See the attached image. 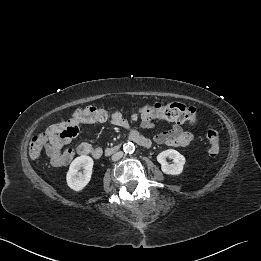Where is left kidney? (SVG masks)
Masks as SVG:
<instances>
[{
	"instance_id": "left-kidney-1",
	"label": "left kidney",
	"mask_w": 261,
	"mask_h": 261,
	"mask_svg": "<svg viewBox=\"0 0 261 261\" xmlns=\"http://www.w3.org/2000/svg\"><path fill=\"white\" fill-rule=\"evenodd\" d=\"M166 158L173 159L174 163L168 164ZM157 161L161 164V170L168 175L181 174L186 162L185 157L174 149H168L159 153Z\"/></svg>"
}]
</instances>
